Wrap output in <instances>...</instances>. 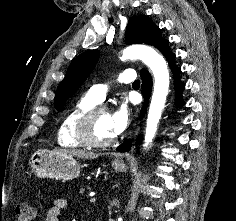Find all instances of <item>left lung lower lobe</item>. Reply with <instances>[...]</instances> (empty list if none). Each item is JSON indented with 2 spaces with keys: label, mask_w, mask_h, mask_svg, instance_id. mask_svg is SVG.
Instances as JSON below:
<instances>
[{
  "label": "left lung lower lobe",
  "mask_w": 236,
  "mask_h": 221,
  "mask_svg": "<svg viewBox=\"0 0 236 221\" xmlns=\"http://www.w3.org/2000/svg\"><path fill=\"white\" fill-rule=\"evenodd\" d=\"M153 46L156 47L157 49H159L169 61L170 68L172 70V73L174 75V80H175L176 99H177L178 105L182 106L183 101L181 100L180 96L184 90V85L179 79V75L181 73V70L173 62V60L175 58V54H173L169 51L168 40H165L162 37L158 38L153 43ZM140 73H141V78H142V82H143L142 86H141L142 94L145 98L144 105H143L141 112H140V118H142L146 112V108L148 106V100L151 95L152 79H151V75L149 74V72L146 69H142ZM130 148H131V140H127L122 145H120L116 150L120 151V152H127L130 150Z\"/></svg>",
  "instance_id": "1"
}]
</instances>
